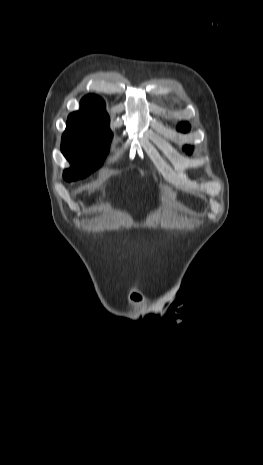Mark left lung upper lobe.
Segmentation results:
<instances>
[{
	"mask_svg": "<svg viewBox=\"0 0 263 465\" xmlns=\"http://www.w3.org/2000/svg\"><path fill=\"white\" fill-rule=\"evenodd\" d=\"M178 131H182V132H187L189 131L190 129V125L186 122L184 123H180L177 127ZM188 154H190L192 152V148L191 147H188V146H185L183 148Z\"/></svg>",
	"mask_w": 263,
	"mask_h": 465,
	"instance_id": "left-lung-upper-lobe-1",
	"label": "left lung upper lobe"
}]
</instances>
